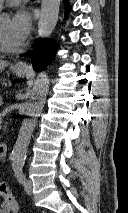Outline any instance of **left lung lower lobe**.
Listing matches in <instances>:
<instances>
[{
  "label": "left lung lower lobe",
  "instance_id": "obj_1",
  "mask_svg": "<svg viewBox=\"0 0 128 213\" xmlns=\"http://www.w3.org/2000/svg\"><path fill=\"white\" fill-rule=\"evenodd\" d=\"M65 9L69 11L71 9L67 0H64ZM55 45L50 44L48 39H38L33 51H29L23 56L31 57L35 70L41 71L50 63L51 58L54 56Z\"/></svg>",
  "mask_w": 128,
  "mask_h": 213
}]
</instances>
